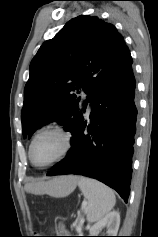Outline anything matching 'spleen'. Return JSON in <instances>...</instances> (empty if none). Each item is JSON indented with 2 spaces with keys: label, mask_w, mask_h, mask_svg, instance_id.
<instances>
[{
  "label": "spleen",
  "mask_w": 158,
  "mask_h": 237,
  "mask_svg": "<svg viewBox=\"0 0 158 237\" xmlns=\"http://www.w3.org/2000/svg\"><path fill=\"white\" fill-rule=\"evenodd\" d=\"M78 186L87 199L86 219L90 223L100 221L114 207L113 190L105 184L87 177H79Z\"/></svg>",
  "instance_id": "spleen-1"
}]
</instances>
